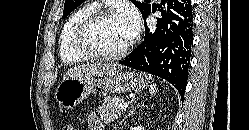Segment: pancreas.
Listing matches in <instances>:
<instances>
[{
    "mask_svg": "<svg viewBox=\"0 0 249 130\" xmlns=\"http://www.w3.org/2000/svg\"><path fill=\"white\" fill-rule=\"evenodd\" d=\"M123 102L121 98L105 97L101 106L98 108V113L101 120L106 124L112 123L120 116L119 105Z\"/></svg>",
    "mask_w": 249,
    "mask_h": 130,
    "instance_id": "pancreas-1",
    "label": "pancreas"
}]
</instances>
